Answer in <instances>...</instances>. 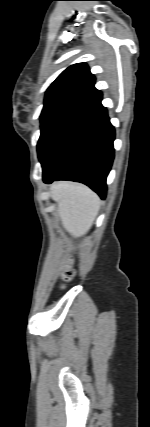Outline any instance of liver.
<instances>
[{
    "instance_id": "liver-1",
    "label": "liver",
    "mask_w": 150,
    "mask_h": 427,
    "mask_svg": "<svg viewBox=\"0 0 150 427\" xmlns=\"http://www.w3.org/2000/svg\"><path fill=\"white\" fill-rule=\"evenodd\" d=\"M50 190L64 229L75 238L84 236L99 212V197L88 187L72 182L54 183Z\"/></svg>"
}]
</instances>
